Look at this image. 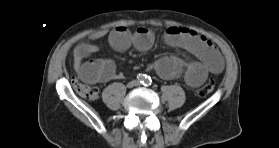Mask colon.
Segmentation results:
<instances>
[{
    "label": "colon",
    "mask_w": 279,
    "mask_h": 148,
    "mask_svg": "<svg viewBox=\"0 0 279 148\" xmlns=\"http://www.w3.org/2000/svg\"><path fill=\"white\" fill-rule=\"evenodd\" d=\"M73 86L80 96L88 100H95L98 96V91L95 87H91L87 84H83L81 82H78L77 80L73 81ZM214 86H215L214 81L209 80L198 90V95L200 97H204L210 94L213 91Z\"/></svg>",
    "instance_id": "colon-1"
}]
</instances>
